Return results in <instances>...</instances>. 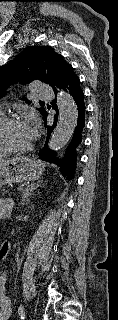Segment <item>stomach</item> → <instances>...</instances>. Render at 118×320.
Returning a JSON list of instances; mask_svg holds the SVG:
<instances>
[{"instance_id":"obj_1","label":"stomach","mask_w":118,"mask_h":320,"mask_svg":"<svg viewBox=\"0 0 118 320\" xmlns=\"http://www.w3.org/2000/svg\"><path fill=\"white\" fill-rule=\"evenodd\" d=\"M44 166L41 162L28 158L17 157L0 165V187L7 183H22L41 177Z\"/></svg>"}]
</instances>
